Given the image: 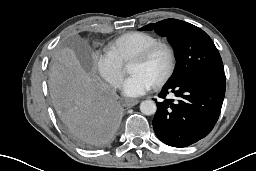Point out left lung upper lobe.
I'll return each instance as SVG.
<instances>
[{"label": "left lung upper lobe", "instance_id": "1", "mask_svg": "<svg viewBox=\"0 0 256 171\" xmlns=\"http://www.w3.org/2000/svg\"><path fill=\"white\" fill-rule=\"evenodd\" d=\"M139 30H155L166 36L175 49L176 69L167 83L202 72H224L220 54L211 38L200 28L177 19L148 24Z\"/></svg>", "mask_w": 256, "mask_h": 171}]
</instances>
